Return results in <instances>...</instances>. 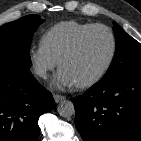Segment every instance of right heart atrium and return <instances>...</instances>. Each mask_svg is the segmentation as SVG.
<instances>
[{
	"label": "right heart atrium",
	"instance_id": "d8ad5b80",
	"mask_svg": "<svg viewBox=\"0 0 141 141\" xmlns=\"http://www.w3.org/2000/svg\"><path fill=\"white\" fill-rule=\"evenodd\" d=\"M33 74L39 79H46L57 66L55 60L41 45L33 46L28 53Z\"/></svg>",
	"mask_w": 141,
	"mask_h": 141
}]
</instances>
